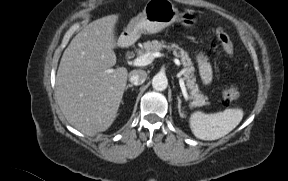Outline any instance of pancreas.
Wrapping results in <instances>:
<instances>
[{
	"instance_id": "cf45deb5",
	"label": "pancreas",
	"mask_w": 288,
	"mask_h": 181,
	"mask_svg": "<svg viewBox=\"0 0 288 181\" xmlns=\"http://www.w3.org/2000/svg\"><path fill=\"white\" fill-rule=\"evenodd\" d=\"M164 48L168 51H172L176 57L181 59L184 66V80L186 81L187 88L190 89L189 99L192 100L191 106L201 107L209 105L207 97L200 92L198 85L195 83L196 78L194 77V67L188 53L181 49L177 44H166L165 41L158 40L147 41L143 43V49L138 50V54L142 55L144 52L152 54L154 52H159Z\"/></svg>"
}]
</instances>
